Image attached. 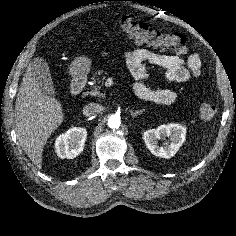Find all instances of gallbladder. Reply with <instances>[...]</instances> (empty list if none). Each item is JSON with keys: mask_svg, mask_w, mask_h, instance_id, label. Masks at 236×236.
Wrapping results in <instances>:
<instances>
[{"mask_svg": "<svg viewBox=\"0 0 236 236\" xmlns=\"http://www.w3.org/2000/svg\"><path fill=\"white\" fill-rule=\"evenodd\" d=\"M31 67L40 90L45 94L55 96L56 90L53 85L47 62L44 59L37 57L32 62Z\"/></svg>", "mask_w": 236, "mask_h": 236, "instance_id": "obj_1", "label": "gallbladder"}]
</instances>
